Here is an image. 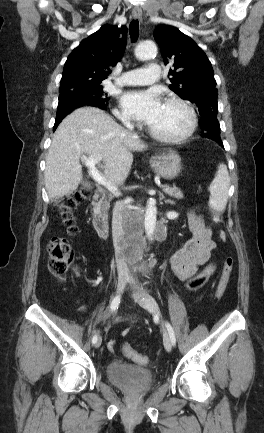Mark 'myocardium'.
Masks as SVG:
<instances>
[{
  "label": "myocardium",
  "instance_id": "f54148a6",
  "mask_svg": "<svg viewBox=\"0 0 264 433\" xmlns=\"http://www.w3.org/2000/svg\"><path fill=\"white\" fill-rule=\"evenodd\" d=\"M164 103L176 104L182 107L189 115V124L187 129L176 136H167L153 130L150 126L147 127L148 133L156 140L169 144H179L190 138L195 132L198 125V117L195 109L185 100L176 96L165 98Z\"/></svg>",
  "mask_w": 264,
  "mask_h": 433
}]
</instances>
